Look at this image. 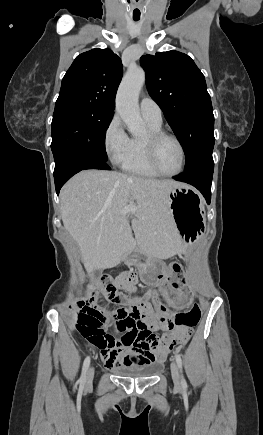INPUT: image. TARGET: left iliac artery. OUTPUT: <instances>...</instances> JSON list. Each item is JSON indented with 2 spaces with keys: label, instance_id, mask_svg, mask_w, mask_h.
<instances>
[{
  "label": "left iliac artery",
  "instance_id": "obj_1",
  "mask_svg": "<svg viewBox=\"0 0 263 435\" xmlns=\"http://www.w3.org/2000/svg\"><path fill=\"white\" fill-rule=\"evenodd\" d=\"M176 362H177V365H178L179 369L182 371V359H181V356L179 354L176 355ZM181 385L183 387L187 386L186 381H185L183 376H182V379H181Z\"/></svg>",
  "mask_w": 263,
  "mask_h": 435
}]
</instances>
